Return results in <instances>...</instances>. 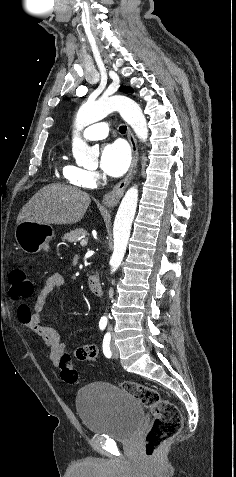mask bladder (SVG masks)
Wrapping results in <instances>:
<instances>
[{"mask_svg":"<svg viewBox=\"0 0 236 477\" xmlns=\"http://www.w3.org/2000/svg\"><path fill=\"white\" fill-rule=\"evenodd\" d=\"M76 408L88 432L115 440L133 438L144 419L141 402L106 382H94L79 391Z\"/></svg>","mask_w":236,"mask_h":477,"instance_id":"31cf9c89","label":"bladder"}]
</instances>
